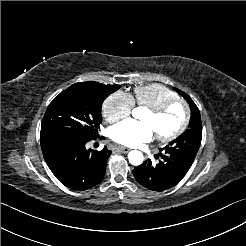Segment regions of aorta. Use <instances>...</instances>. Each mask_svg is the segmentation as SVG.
<instances>
[{
	"label": "aorta",
	"mask_w": 246,
	"mask_h": 246,
	"mask_svg": "<svg viewBox=\"0 0 246 246\" xmlns=\"http://www.w3.org/2000/svg\"><path fill=\"white\" fill-rule=\"evenodd\" d=\"M137 108L133 109L132 115L136 117ZM128 159L131 165L139 166L143 163V154L138 150H132L128 153Z\"/></svg>",
	"instance_id": "762f6f07"
}]
</instances>
